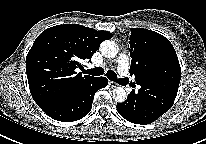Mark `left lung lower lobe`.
<instances>
[{"instance_id": "obj_1", "label": "left lung lower lobe", "mask_w": 206, "mask_h": 144, "mask_svg": "<svg viewBox=\"0 0 206 144\" xmlns=\"http://www.w3.org/2000/svg\"><path fill=\"white\" fill-rule=\"evenodd\" d=\"M174 95L160 93L149 95L145 86L138 92L133 90L124 103L117 104V111L127 121L135 124H149L167 112L173 105Z\"/></svg>"}]
</instances>
